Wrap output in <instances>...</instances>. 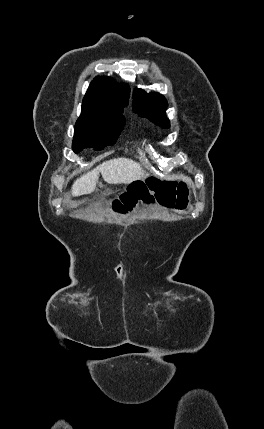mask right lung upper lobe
Segmentation results:
<instances>
[{
	"instance_id": "1",
	"label": "right lung upper lobe",
	"mask_w": 264,
	"mask_h": 429,
	"mask_svg": "<svg viewBox=\"0 0 264 429\" xmlns=\"http://www.w3.org/2000/svg\"><path fill=\"white\" fill-rule=\"evenodd\" d=\"M129 91L127 85L116 84L111 78L96 77L85 94L83 104L126 106Z\"/></svg>"
}]
</instances>
